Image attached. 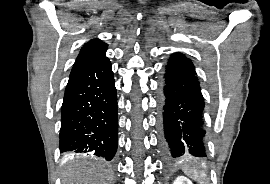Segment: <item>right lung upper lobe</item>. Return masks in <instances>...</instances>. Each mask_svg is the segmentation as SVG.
<instances>
[{
	"label": "right lung upper lobe",
	"instance_id": "1",
	"mask_svg": "<svg viewBox=\"0 0 270 184\" xmlns=\"http://www.w3.org/2000/svg\"><path fill=\"white\" fill-rule=\"evenodd\" d=\"M106 50L107 44L103 43L101 40L99 39L90 40L82 47L73 65L72 70L107 60L108 58L105 56Z\"/></svg>",
	"mask_w": 270,
	"mask_h": 184
}]
</instances>
